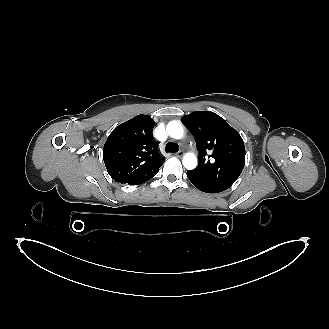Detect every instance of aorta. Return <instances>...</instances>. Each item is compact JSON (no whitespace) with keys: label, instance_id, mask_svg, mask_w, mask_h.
I'll return each instance as SVG.
<instances>
[{"label":"aorta","instance_id":"aorta-1","mask_svg":"<svg viewBox=\"0 0 329 329\" xmlns=\"http://www.w3.org/2000/svg\"><path fill=\"white\" fill-rule=\"evenodd\" d=\"M166 130L170 137L174 139H181L184 136L183 126L178 121H170L166 126ZM182 163L186 169L192 170L197 166V158L195 154L187 153L184 155Z\"/></svg>","mask_w":329,"mask_h":329}]
</instances>
